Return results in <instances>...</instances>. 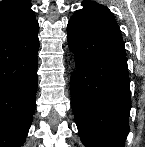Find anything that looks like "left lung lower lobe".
<instances>
[{
	"mask_svg": "<svg viewBox=\"0 0 145 147\" xmlns=\"http://www.w3.org/2000/svg\"><path fill=\"white\" fill-rule=\"evenodd\" d=\"M68 23L75 54L71 106L86 147H123L130 130V80L120 28L111 11L84 1Z\"/></svg>",
	"mask_w": 145,
	"mask_h": 147,
	"instance_id": "obj_1",
	"label": "left lung lower lobe"
}]
</instances>
